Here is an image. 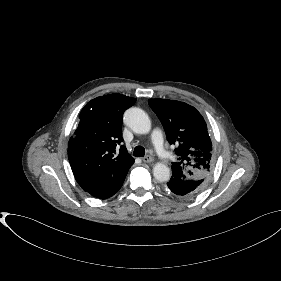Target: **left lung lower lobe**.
I'll use <instances>...</instances> for the list:
<instances>
[{
	"label": "left lung lower lobe",
	"mask_w": 281,
	"mask_h": 281,
	"mask_svg": "<svg viewBox=\"0 0 281 281\" xmlns=\"http://www.w3.org/2000/svg\"><path fill=\"white\" fill-rule=\"evenodd\" d=\"M205 185L204 180H177L171 179L167 183L168 192L181 197V198H191L195 196Z\"/></svg>",
	"instance_id": "1"
}]
</instances>
